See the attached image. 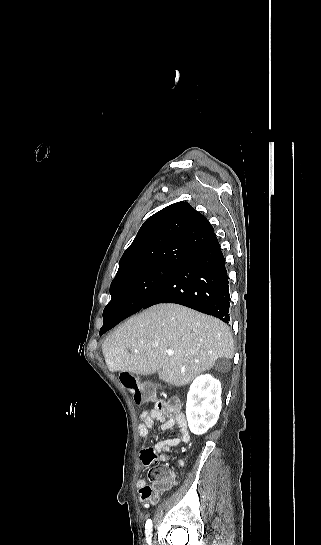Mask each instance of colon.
Here are the masks:
<instances>
[{"mask_svg":"<svg viewBox=\"0 0 321 545\" xmlns=\"http://www.w3.org/2000/svg\"><path fill=\"white\" fill-rule=\"evenodd\" d=\"M120 381L123 386L130 392L134 402L137 405H143L153 397L152 387L146 383L141 382L131 373H121ZM143 452L149 459H152L155 456V452L151 448H148ZM151 481V485H146L142 487L139 491L141 502L147 507L155 504L159 498V495L172 484L164 477L163 473L160 471H155L153 473Z\"/></svg>","mask_w":321,"mask_h":545,"instance_id":"colon-1","label":"colon"}]
</instances>
